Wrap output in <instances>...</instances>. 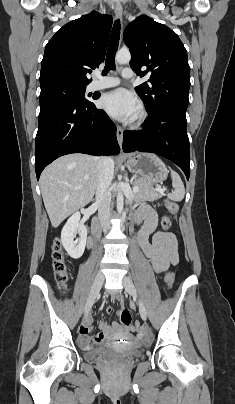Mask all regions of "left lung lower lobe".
Masks as SVG:
<instances>
[{
	"instance_id": "left-lung-lower-lobe-1",
	"label": "left lung lower lobe",
	"mask_w": 235,
	"mask_h": 404,
	"mask_svg": "<svg viewBox=\"0 0 235 404\" xmlns=\"http://www.w3.org/2000/svg\"><path fill=\"white\" fill-rule=\"evenodd\" d=\"M186 110L165 107L149 113L142 131H125L124 152H152L161 155L190 175V145L186 129Z\"/></svg>"
}]
</instances>
